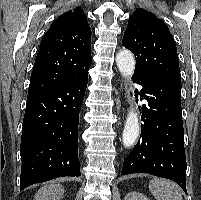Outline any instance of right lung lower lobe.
Here are the masks:
<instances>
[{"instance_id": "right-lung-lower-lobe-1", "label": "right lung lower lobe", "mask_w": 201, "mask_h": 200, "mask_svg": "<svg viewBox=\"0 0 201 200\" xmlns=\"http://www.w3.org/2000/svg\"><path fill=\"white\" fill-rule=\"evenodd\" d=\"M88 70L64 84L28 94L20 146V190L57 177L81 176L77 130Z\"/></svg>"}]
</instances>
